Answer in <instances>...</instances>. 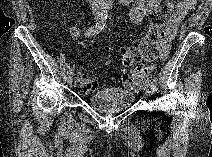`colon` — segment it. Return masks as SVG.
<instances>
[{
  "mask_svg": "<svg viewBox=\"0 0 212 157\" xmlns=\"http://www.w3.org/2000/svg\"><path fill=\"white\" fill-rule=\"evenodd\" d=\"M175 5L176 0H158L156 2L153 11L148 16L149 29L145 36L135 45L122 50V62L125 67L142 64L160 55L161 42L164 37H168L163 27ZM71 33L76 36L78 35V30L72 28ZM137 75L138 72L136 70L134 77L128 74H124L122 77L128 80L135 78ZM97 85L98 82L95 76L85 71L77 73L75 86L78 91L83 93L90 92L95 90Z\"/></svg>",
  "mask_w": 212,
  "mask_h": 157,
  "instance_id": "5ec220e1",
  "label": "colon"
}]
</instances>
